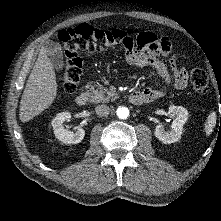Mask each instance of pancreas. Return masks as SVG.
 Masks as SVG:
<instances>
[{"label":"pancreas","instance_id":"obj_1","mask_svg":"<svg viewBox=\"0 0 221 221\" xmlns=\"http://www.w3.org/2000/svg\"><path fill=\"white\" fill-rule=\"evenodd\" d=\"M86 89H88L89 100L92 103H105L109 102L111 98H117L114 92L108 91L99 83L89 82L86 85Z\"/></svg>","mask_w":221,"mask_h":221}]
</instances>
